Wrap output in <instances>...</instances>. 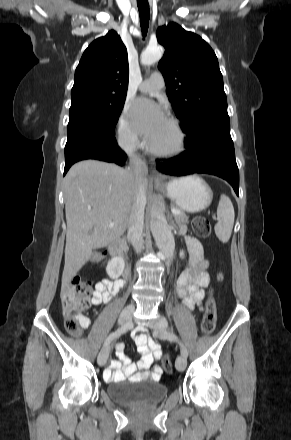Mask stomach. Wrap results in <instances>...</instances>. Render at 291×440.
Segmentation results:
<instances>
[{
	"instance_id": "0dacf381",
	"label": "stomach",
	"mask_w": 291,
	"mask_h": 440,
	"mask_svg": "<svg viewBox=\"0 0 291 440\" xmlns=\"http://www.w3.org/2000/svg\"><path fill=\"white\" fill-rule=\"evenodd\" d=\"M157 190L166 193L181 210L199 212L212 202L213 192L209 185L199 176L191 175L169 181Z\"/></svg>"
}]
</instances>
